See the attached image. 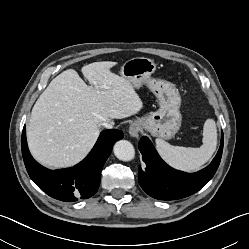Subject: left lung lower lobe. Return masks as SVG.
Wrapping results in <instances>:
<instances>
[{"mask_svg": "<svg viewBox=\"0 0 249 249\" xmlns=\"http://www.w3.org/2000/svg\"><path fill=\"white\" fill-rule=\"evenodd\" d=\"M139 150L146 164L145 170L139 168L138 172L142 189L156 199H181L199 191L214 176L222 156L223 132L217 155L206 168L196 173H185L168 166L145 136L139 141Z\"/></svg>", "mask_w": 249, "mask_h": 249, "instance_id": "obj_1", "label": "left lung lower lobe"}]
</instances>
